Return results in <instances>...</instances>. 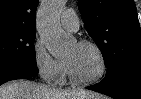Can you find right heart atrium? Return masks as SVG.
I'll use <instances>...</instances> for the list:
<instances>
[{"instance_id":"1","label":"right heart atrium","mask_w":141,"mask_h":99,"mask_svg":"<svg viewBox=\"0 0 141 99\" xmlns=\"http://www.w3.org/2000/svg\"><path fill=\"white\" fill-rule=\"evenodd\" d=\"M33 62L40 77L47 83L58 81L62 74V61L54 58L41 39H36L32 49Z\"/></svg>"}]
</instances>
